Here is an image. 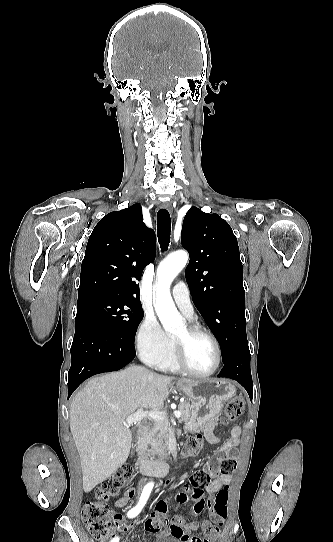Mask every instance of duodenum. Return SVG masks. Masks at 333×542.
I'll return each instance as SVG.
<instances>
[{
  "instance_id": "410a0bca",
  "label": "duodenum",
  "mask_w": 333,
  "mask_h": 542,
  "mask_svg": "<svg viewBox=\"0 0 333 542\" xmlns=\"http://www.w3.org/2000/svg\"><path fill=\"white\" fill-rule=\"evenodd\" d=\"M145 442L144 432L141 431L137 437V446L141 448ZM137 469L145 475L153 477H165L169 472V464L162 460H149L139 457L136 460Z\"/></svg>"
}]
</instances>
